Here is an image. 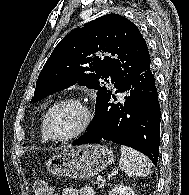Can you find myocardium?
Wrapping results in <instances>:
<instances>
[{"label": "myocardium", "mask_w": 189, "mask_h": 195, "mask_svg": "<svg viewBox=\"0 0 189 195\" xmlns=\"http://www.w3.org/2000/svg\"><path fill=\"white\" fill-rule=\"evenodd\" d=\"M65 104H74L79 106L83 112H84V120L82 125L80 126V128L75 131L74 133L65 136V137H56L52 134L51 130H50V126H49V120L50 117L52 115V113L59 107ZM93 111L91 109V106L85 102L84 100H82L81 98H77V97H69V98H64L61 99L59 101H57L56 103H54L46 112V114L44 115L43 118V128H44V132L47 136V138L51 141L54 142H69L79 136H81L82 134H84L88 128L90 127L92 121H93Z\"/></svg>", "instance_id": "obj_1"}]
</instances>
